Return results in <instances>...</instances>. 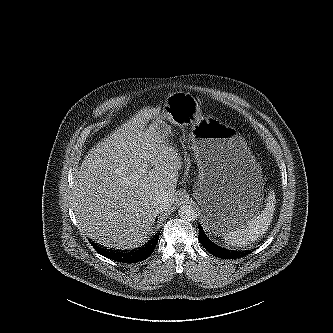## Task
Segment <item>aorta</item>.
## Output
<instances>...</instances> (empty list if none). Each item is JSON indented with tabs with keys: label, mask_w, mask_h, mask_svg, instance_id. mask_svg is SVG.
<instances>
[{
	"label": "aorta",
	"mask_w": 333,
	"mask_h": 333,
	"mask_svg": "<svg viewBox=\"0 0 333 333\" xmlns=\"http://www.w3.org/2000/svg\"><path fill=\"white\" fill-rule=\"evenodd\" d=\"M178 215L181 219L192 222L197 218V211L193 206L185 204L180 206Z\"/></svg>",
	"instance_id": "1"
}]
</instances>
